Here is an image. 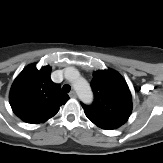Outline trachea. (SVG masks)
<instances>
[{
    "label": "trachea",
    "mask_w": 163,
    "mask_h": 163,
    "mask_svg": "<svg viewBox=\"0 0 163 163\" xmlns=\"http://www.w3.org/2000/svg\"><path fill=\"white\" fill-rule=\"evenodd\" d=\"M62 90H63L64 92L69 93L70 90H71V87H70L69 85L65 84V85L62 87Z\"/></svg>",
    "instance_id": "1"
}]
</instances>
